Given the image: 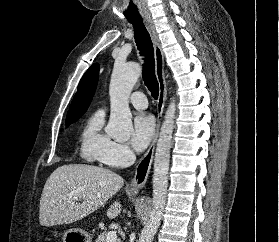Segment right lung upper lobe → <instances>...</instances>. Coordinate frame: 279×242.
I'll list each match as a JSON object with an SVG mask.
<instances>
[{"mask_svg":"<svg viewBox=\"0 0 279 242\" xmlns=\"http://www.w3.org/2000/svg\"><path fill=\"white\" fill-rule=\"evenodd\" d=\"M98 74L99 66L93 64L83 75L70 105L66 123L77 121L86 112L96 89Z\"/></svg>","mask_w":279,"mask_h":242,"instance_id":"obj_1","label":"right lung upper lobe"}]
</instances>
